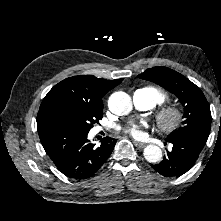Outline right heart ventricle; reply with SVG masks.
Returning <instances> with one entry per match:
<instances>
[{"label": "right heart ventricle", "mask_w": 221, "mask_h": 221, "mask_svg": "<svg viewBox=\"0 0 221 221\" xmlns=\"http://www.w3.org/2000/svg\"><path fill=\"white\" fill-rule=\"evenodd\" d=\"M148 88L151 89L152 92L154 93L156 103H162L168 99V94L165 91L155 87H148Z\"/></svg>", "instance_id": "e07e8e85"}]
</instances>
